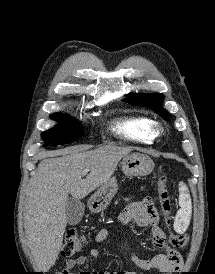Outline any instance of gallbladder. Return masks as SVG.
<instances>
[{
  "label": "gallbladder",
  "instance_id": "obj_1",
  "mask_svg": "<svg viewBox=\"0 0 215 274\" xmlns=\"http://www.w3.org/2000/svg\"><path fill=\"white\" fill-rule=\"evenodd\" d=\"M84 204L81 200L71 197L66 203V217L70 225H77L84 215Z\"/></svg>",
  "mask_w": 215,
  "mask_h": 274
}]
</instances>
